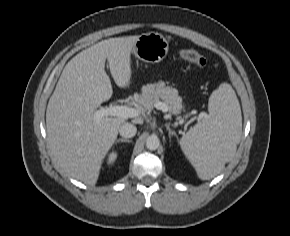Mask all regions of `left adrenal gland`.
I'll return each mask as SVG.
<instances>
[{"instance_id":"a2214340","label":"left adrenal gland","mask_w":290,"mask_h":236,"mask_svg":"<svg viewBox=\"0 0 290 236\" xmlns=\"http://www.w3.org/2000/svg\"><path fill=\"white\" fill-rule=\"evenodd\" d=\"M166 129L169 131V137L175 136L177 138V134L175 131H173L168 124L165 125Z\"/></svg>"}]
</instances>
